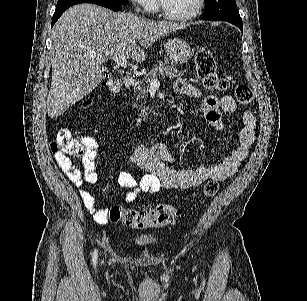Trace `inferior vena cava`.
I'll return each mask as SVG.
<instances>
[{
    "mask_svg": "<svg viewBox=\"0 0 307 301\" xmlns=\"http://www.w3.org/2000/svg\"><path fill=\"white\" fill-rule=\"evenodd\" d=\"M136 12H140V8H136Z\"/></svg>",
    "mask_w": 307,
    "mask_h": 301,
    "instance_id": "obj_1",
    "label": "inferior vena cava"
}]
</instances>
